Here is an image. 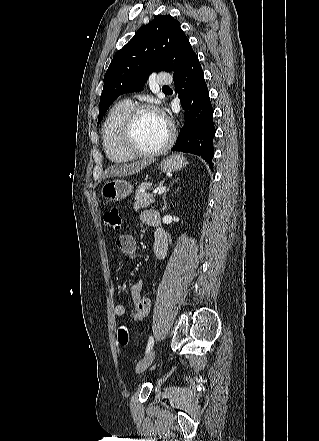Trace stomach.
<instances>
[{"label": "stomach", "instance_id": "1", "mask_svg": "<svg viewBox=\"0 0 319 441\" xmlns=\"http://www.w3.org/2000/svg\"><path fill=\"white\" fill-rule=\"evenodd\" d=\"M185 165V158L181 154H174L164 159L160 163L159 169L162 172L179 171L185 167ZM131 191L132 185L130 182L123 179H115L107 181L102 186L101 195L108 202H116L125 199L131 194Z\"/></svg>", "mask_w": 319, "mask_h": 441}]
</instances>
